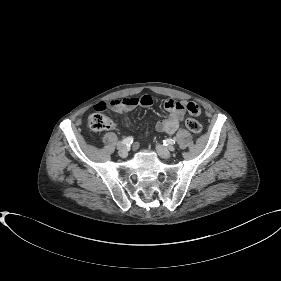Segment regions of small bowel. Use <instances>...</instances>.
<instances>
[{"instance_id": "1", "label": "small bowel", "mask_w": 281, "mask_h": 281, "mask_svg": "<svg viewBox=\"0 0 281 281\" xmlns=\"http://www.w3.org/2000/svg\"><path fill=\"white\" fill-rule=\"evenodd\" d=\"M192 102L175 101L173 99H165L163 107L168 112V117L165 120H157L155 127L159 132L166 134H173L182 122L186 112L193 115L188 107ZM153 104V98L150 95H142L140 97H127L114 99L107 102H98L95 104L94 109L101 111L111 109L117 113H125L137 107H150ZM127 125V122H126Z\"/></svg>"}]
</instances>
